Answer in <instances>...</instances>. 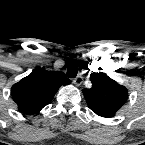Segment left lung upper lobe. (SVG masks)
Wrapping results in <instances>:
<instances>
[{"label":"left lung upper lobe","instance_id":"obj_1","mask_svg":"<svg viewBox=\"0 0 145 145\" xmlns=\"http://www.w3.org/2000/svg\"><path fill=\"white\" fill-rule=\"evenodd\" d=\"M90 89H83L88 107L97 115L110 118L128 99L127 89L105 73H92Z\"/></svg>","mask_w":145,"mask_h":145}]
</instances>
